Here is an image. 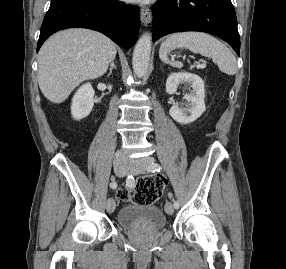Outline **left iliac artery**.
Listing matches in <instances>:
<instances>
[{"instance_id": "1", "label": "left iliac artery", "mask_w": 286, "mask_h": 269, "mask_svg": "<svg viewBox=\"0 0 286 269\" xmlns=\"http://www.w3.org/2000/svg\"><path fill=\"white\" fill-rule=\"evenodd\" d=\"M161 169H162V168H161V166H160L159 164H157V163H152L151 165L148 166V169H147V170L150 171V172H155V171L160 172ZM173 205H174V208H175V209H178V208H179V203H178V201H174Z\"/></svg>"}]
</instances>
